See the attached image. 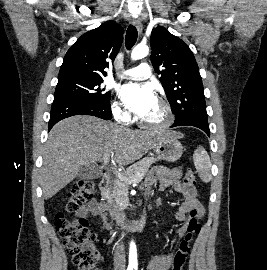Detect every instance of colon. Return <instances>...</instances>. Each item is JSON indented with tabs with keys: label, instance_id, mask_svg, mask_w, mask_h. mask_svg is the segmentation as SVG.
<instances>
[{
	"label": "colon",
	"instance_id": "5ec220e1",
	"mask_svg": "<svg viewBox=\"0 0 267 270\" xmlns=\"http://www.w3.org/2000/svg\"><path fill=\"white\" fill-rule=\"evenodd\" d=\"M184 182L195 186L196 177L191 169H188ZM96 191V184L93 180L78 181L64 197L66 210L74 214L78 208L89 201ZM55 229L62 240L66 252L71 256L74 265L79 270H92L98 253L95 248V236L88 228L87 220L83 218H69L59 212L54 220ZM201 224L197 216H193L188 222V231L181 241L178 250L172 259L171 270H183L190 252L194 237L200 232Z\"/></svg>",
	"mask_w": 267,
	"mask_h": 270
}]
</instances>
